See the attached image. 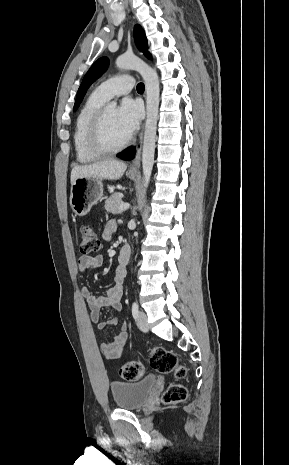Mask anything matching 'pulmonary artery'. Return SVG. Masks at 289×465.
<instances>
[{
    "instance_id": "obj_1",
    "label": "pulmonary artery",
    "mask_w": 289,
    "mask_h": 465,
    "mask_svg": "<svg viewBox=\"0 0 289 465\" xmlns=\"http://www.w3.org/2000/svg\"><path fill=\"white\" fill-rule=\"evenodd\" d=\"M135 86L134 78L130 75H118L102 82L96 89L97 93L109 100L114 96L129 93Z\"/></svg>"
}]
</instances>
